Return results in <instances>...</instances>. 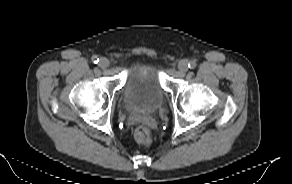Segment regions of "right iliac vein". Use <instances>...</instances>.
Instances as JSON below:
<instances>
[{
	"label": "right iliac vein",
	"instance_id": "right-iliac-vein-1",
	"mask_svg": "<svg viewBox=\"0 0 292 184\" xmlns=\"http://www.w3.org/2000/svg\"><path fill=\"white\" fill-rule=\"evenodd\" d=\"M99 66L101 68H107L109 66V60L107 58L102 57L99 61Z\"/></svg>",
	"mask_w": 292,
	"mask_h": 184
}]
</instances>
